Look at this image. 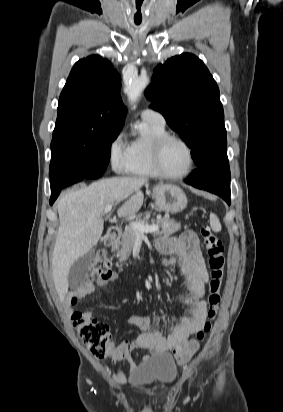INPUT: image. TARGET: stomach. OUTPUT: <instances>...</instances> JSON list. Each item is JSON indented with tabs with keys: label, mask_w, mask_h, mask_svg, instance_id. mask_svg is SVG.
I'll return each instance as SVG.
<instances>
[{
	"label": "stomach",
	"mask_w": 283,
	"mask_h": 412,
	"mask_svg": "<svg viewBox=\"0 0 283 412\" xmlns=\"http://www.w3.org/2000/svg\"><path fill=\"white\" fill-rule=\"evenodd\" d=\"M155 205L166 213H179L187 206V197L181 188L175 185L160 184L153 188Z\"/></svg>",
	"instance_id": "stomach-1"
}]
</instances>
